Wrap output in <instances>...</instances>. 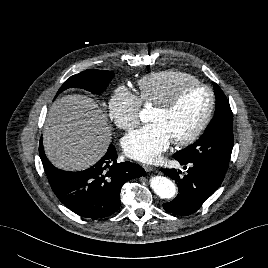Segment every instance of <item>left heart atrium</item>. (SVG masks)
Instances as JSON below:
<instances>
[{"label": "left heart atrium", "mask_w": 268, "mask_h": 268, "mask_svg": "<svg viewBox=\"0 0 268 268\" xmlns=\"http://www.w3.org/2000/svg\"><path fill=\"white\" fill-rule=\"evenodd\" d=\"M170 141L164 127L153 122L129 132L123 139V149L131 159L152 163L168 148Z\"/></svg>", "instance_id": "left-heart-atrium-1"}]
</instances>
